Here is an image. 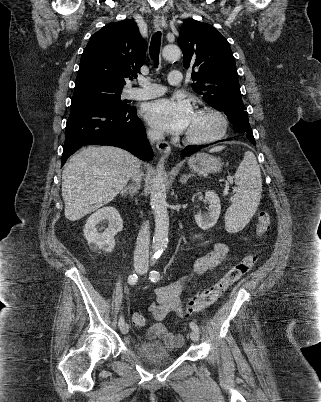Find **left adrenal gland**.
I'll list each match as a JSON object with an SVG mask.
<instances>
[{"instance_id": "1", "label": "left adrenal gland", "mask_w": 321, "mask_h": 402, "mask_svg": "<svg viewBox=\"0 0 321 402\" xmlns=\"http://www.w3.org/2000/svg\"><path fill=\"white\" fill-rule=\"evenodd\" d=\"M192 176H193L192 174L183 175V176L181 177V179H180V182H181L182 184H185V183L187 182V180H188L190 177H192Z\"/></svg>"}]
</instances>
